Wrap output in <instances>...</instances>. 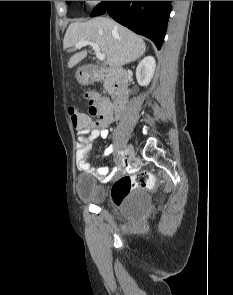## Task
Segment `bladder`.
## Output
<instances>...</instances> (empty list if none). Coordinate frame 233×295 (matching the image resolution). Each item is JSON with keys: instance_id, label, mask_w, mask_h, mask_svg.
<instances>
[{"instance_id": "31cf9c89", "label": "bladder", "mask_w": 233, "mask_h": 295, "mask_svg": "<svg viewBox=\"0 0 233 295\" xmlns=\"http://www.w3.org/2000/svg\"><path fill=\"white\" fill-rule=\"evenodd\" d=\"M75 190L81 201L100 204L105 200L103 185L98 183L92 176H79L76 180ZM127 205L134 216L141 217L149 211L151 198L145 190L139 189L130 197Z\"/></svg>"}]
</instances>
